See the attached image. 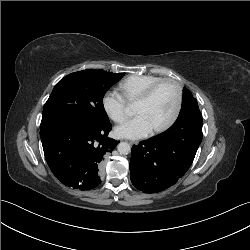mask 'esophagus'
I'll list each match as a JSON object with an SVG mask.
<instances>
[{
  "mask_svg": "<svg viewBox=\"0 0 250 250\" xmlns=\"http://www.w3.org/2000/svg\"><path fill=\"white\" fill-rule=\"evenodd\" d=\"M129 143H130L131 145L137 144V142H135V141H130Z\"/></svg>",
  "mask_w": 250,
  "mask_h": 250,
  "instance_id": "esophagus-1",
  "label": "esophagus"
}]
</instances>
